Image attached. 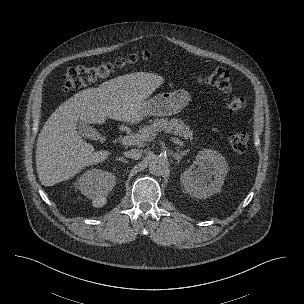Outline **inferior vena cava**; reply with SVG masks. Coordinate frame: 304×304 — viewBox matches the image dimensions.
<instances>
[{
	"label": "inferior vena cava",
	"instance_id": "obj_1",
	"mask_svg": "<svg viewBox=\"0 0 304 304\" xmlns=\"http://www.w3.org/2000/svg\"><path fill=\"white\" fill-rule=\"evenodd\" d=\"M143 151L139 149H132L124 152L125 157L138 160L141 158Z\"/></svg>",
	"mask_w": 304,
	"mask_h": 304
}]
</instances>
